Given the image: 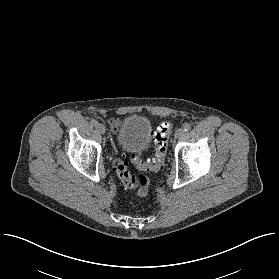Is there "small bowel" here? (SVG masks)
Instances as JSON below:
<instances>
[{
  "label": "small bowel",
  "instance_id": "small-bowel-1",
  "mask_svg": "<svg viewBox=\"0 0 279 279\" xmlns=\"http://www.w3.org/2000/svg\"><path fill=\"white\" fill-rule=\"evenodd\" d=\"M109 125L113 130H115L118 127V120H109Z\"/></svg>",
  "mask_w": 279,
  "mask_h": 279
}]
</instances>
